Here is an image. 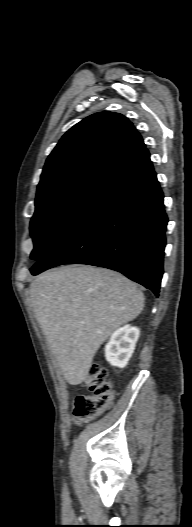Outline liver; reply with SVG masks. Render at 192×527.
Returning <instances> with one entry per match:
<instances>
[{"mask_svg": "<svg viewBox=\"0 0 192 527\" xmlns=\"http://www.w3.org/2000/svg\"><path fill=\"white\" fill-rule=\"evenodd\" d=\"M30 299L71 385L86 379L100 346L144 307V295L135 283L91 266H64L41 274L30 284Z\"/></svg>", "mask_w": 192, "mask_h": 527, "instance_id": "6515ba94", "label": "liver"}]
</instances>
